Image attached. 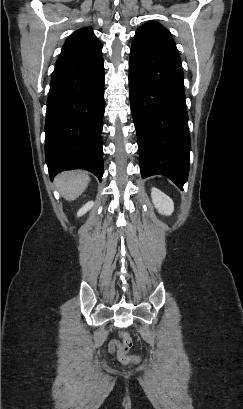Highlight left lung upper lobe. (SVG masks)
I'll use <instances>...</instances> for the list:
<instances>
[{"mask_svg": "<svg viewBox=\"0 0 243 409\" xmlns=\"http://www.w3.org/2000/svg\"><path fill=\"white\" fill-rule=\"evenodd\" d=\"M166 43L175 44L171 33L156 22H148L137 29L132 48L147 49Z\"/></svg>", "mask_w": 243, "mask_h": 409, "instance_id": "obj_1", "label": "left lung upper lobe"}]
</instances>
